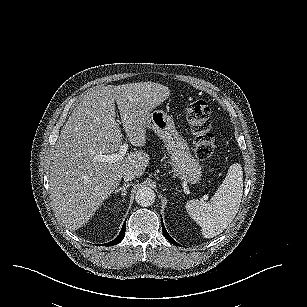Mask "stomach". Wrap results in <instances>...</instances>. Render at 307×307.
Segmentation results:
<instances>
[{
	"label": "stomach",
	"instance_id": "1",
	"mask_svg": "<svg viewBox=\"0 0 307 307\" xmlns=\"http://www.w3.org/2000/svg\"><path fill=\"white\" fill-rule=\"evenodd\" d=\"M145 128L153 131L164 142L175 175L191 183L198 182L201 167L190 154L187 142L177 132L173 117L163 110H152L146 116Z\"/></svg>",
	"mask_w": 307,
	"mask_h": 307
}]
</instances>
